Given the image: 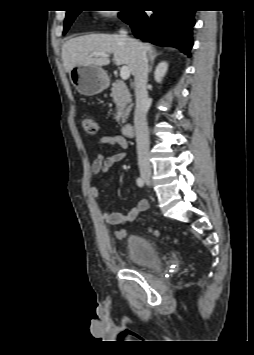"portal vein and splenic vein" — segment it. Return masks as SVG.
Here are the masks:
<instances>
[{
	"label": "portal vein and splenic vein",
	"instance_id": "1",
	"mask_svg": "<svg viewBox=\"0 0 254 355\" xmlns=\"http://www.w3.org/2000/svg\"><path fill=\"white\" fill-rule=\"evenodd\" d=\"M91 56H102V57H109V54L103 53V52H93L91 53ZM120 77L122 80H127L130 77V70L129 67L124 65L120 69Z\"/></svg>",
	"mask_w": 254,
	"mask_h": 355
}]
</instances>
